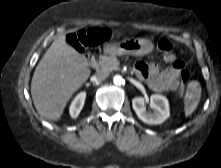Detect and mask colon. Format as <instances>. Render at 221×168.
<instances>
[{"label": "colon", "instance_id": "colon-1", "mask_svg": "<svg viewBox=\"0 0 221 168\" xmlns=\"http://www.w3.org/2000/svg\"><path fill=\"white\" fill-rule=\"evenodd\" d=\"M109 36L110 31L106 28L86 29L70 34L68 36V43L78 51H84L107 40ZM158 48L165 53H169L172 50V44L167 39L162 38L158 42ZM192 79V73L185 69V72L181 75V82L183 83H181L179 95H182L184 84H187Z\"/></svg>", "mask_w": 221, "mask_h": 168}]
</instances>
